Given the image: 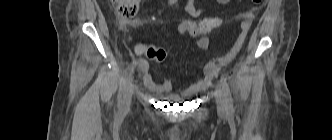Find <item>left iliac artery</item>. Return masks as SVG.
<instances>
[{
  "label": "left iliac artery",
  "instance_id": "obj_1",
  "mask_svg": "<svg viewBox=\"0 0 332 140\" xmlns=\"http://www.w3.org/2000/svg\"><path fill=\"white\" fill-rule=\"evenodd\" d=\"M220 81H221L222 88L224 91L227 109L230 113H233L234 112L233 99H232L231 91H230L229 85L227 83V80L224 76H221Z\"/></svg>",
  "mask_w": 332,
  "mask_h": 140
}]
</instances>
